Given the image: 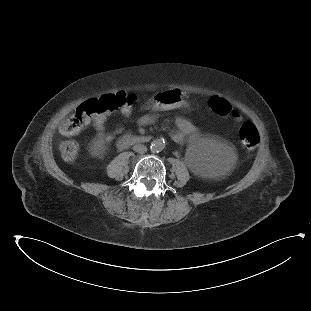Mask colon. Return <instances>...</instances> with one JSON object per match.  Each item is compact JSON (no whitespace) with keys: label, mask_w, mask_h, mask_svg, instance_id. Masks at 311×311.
I'll use <instances>...</instances> for the list:
<instances>
[{"label":"colon","mask_w":311,"mask_h":311,"mask_svg":"<svg viewBox=\"0 0 311 311\" xmlns=\"http://www.w3.org/2000/svg\"><path fill=\"white\" fill-rule=\"evenodd\" d=\"M136 101L137 97L135 95H125L121 91H116L112 95L105 94L102 97H97L94 100L89 101L85 106V111L91 117H96L105 111H110L114 107L128 112L133 109ZM207 102L214 111L219 112L223 117L238 120L243 115L240 108L223 103L215 94L210 95ZM86 113L81 109L74 110L65 120L58 124V133L63 137L73 136L77 129L86 122ZM239 135L246 148L257 146L260 140V132L252 123L244 124L240 129ZM59 151L65 162L73 163L79 156L80 147L74 140H65L60 143Z\"/></svg>","instance_id":"obj_1"}]
</instances>
